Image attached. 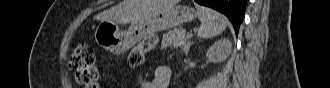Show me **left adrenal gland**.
Segmentation results:
<instances>
[{"label": "left adrenal gland", "mask_w": 330, "mask_h": 88, "mask_svg": "<svg viewBox=\"0 0 330 88\" xmlns=\"http://www.w3.org/2000/svg\"><path fill=\"white\" fill-rule=\"evenodd\" d=\"M191 45H193V42H190V43L187 45V47L184 49V53H185L186 55L188 54V51H189Z\"/></svg>", "instance_id": "left-adrenal-gland-1"}]
</instances>
